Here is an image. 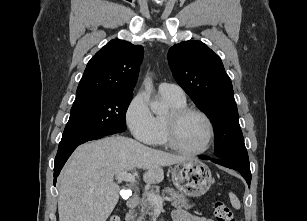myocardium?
Returning <instances> with one entry per match:
<instances>
[{
  "instance_id": "obj_1",
  "label": "myocardium",
  "mask_w": 307,
  "mask_h": 221,
  "mask_svg": "<svg viewBox=\"0 0 307 221\" xmlns=\"http://www.w3.org/2000/svg\"><path fill=\"white\" fill-rule=\"evenodd\" d=\"M189 114H197L204 119L208 128V137L206 144L203 148L199 150H186L180 147L176 142V130L179 121ZM215 139V127L212 119L207 113L196 108L184 106L181 108L172 109L171 112L165 117V144L173 151L187 156H199L207 151L213 145Z\"/></svg>"
}]
</instances>
